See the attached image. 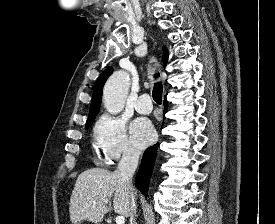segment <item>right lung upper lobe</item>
Returning <instances> with one entry per match:
<instances>
[{
	"label": "right lung upper lobe",
	"mask_w": 275,
	"mask_h": 224,
	"mask_svg": "<svg viewBox=\"0 0 275 224\" xmlns=\"http://www.w3.org/2000/svg\"><path fill=\"white\" fill-rule=\"evenodd\" d=\"M163 62L164 65H166L168 61V51L166 47H163ZM113 69L111 67L105 69L102 74L99 76V78L96 81V84L94 86V91H93V96H92V101H91V106H90V111H89V116L87 119V122L92 121L95 119V116L99 112L100 108V103H101V98H102V90L104 83L106 82L107 78L112 74Z\"/></svg>",
	"instance_id": "obj_1"
}]
</instances>
